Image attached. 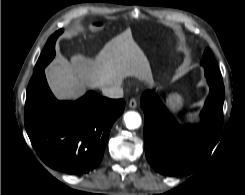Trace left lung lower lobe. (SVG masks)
I'll return each mask as SVG.
<instances>
[{
	"label": "left lung lower lobe",
	"instance_id": "0a47b994",
	"mask_svg": "<svg viewBox=\"0 0 245 195\" xmlns=\"http://www.w3.org/2000/svg\"><path fill=\"white\" fill-rule=\"evenodd\" d=\"M209 95L199 125L180 126L152 91H145L140 105L145 114L144 143L149 164L160 174L187 175L198 169L220 139L223 128L222 81L207 78Z\"/></svg>",
	"mask_w": 245,
	"mask_h": 195
}]
</instances>
